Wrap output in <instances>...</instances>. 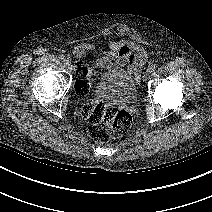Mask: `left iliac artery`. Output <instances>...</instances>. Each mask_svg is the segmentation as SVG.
Segmentation results:
<instances>
[{
  "instance_id": "1",
  "label": "left iliac artery",
  "mask_w": 212,
  "mask_h": 212,
  "mask_svg": "<svg viewBox=\"0 0 212 212\" xmlns=\"http://www.w3.org/2000/svg\"><path fill=\"white\" fill-rule=\"evenodd\" d=\"M156 68H157V66L154 64V65H152V66L149 68V71H150L151 73L155 74Z\"/></svg>"
}]
</instances>
